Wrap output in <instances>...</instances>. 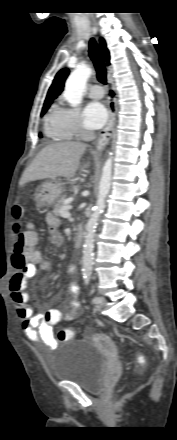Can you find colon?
<instances>
[{
  "mask_svg": "<svg viewBox=\"0 0 177 440\" xmlns=\"http://www.w3.org/2000/svg\"><path fill=\"white\" fill-rule=\"evenodd\" d=\"M13 217L15 223L13 224V254H12V264L18 269H23L27 267L32 258L35 256V245L37 243V235L35 231L31 228V224H23L21 222L23 218V208L20 205H15L13 207ZM74 333L70 328L61 329L57 333V340L60 342H65L73 339Z\"/></svg>",
  "mask_w": 177,
  "mask_h": 440,
  "instance_id": "colon-1",
  "label": "colon"
}]
</instances>
